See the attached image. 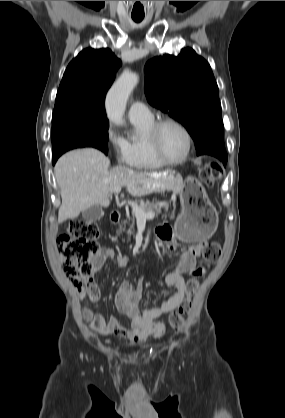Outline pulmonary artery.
<instances>
[{"label":"pulmonary artery","instance_id":"1","mask_svg":"<svg viewBox=\"0 0 285 418\" xmlns=\"http://www.w3.org/2000/svg\"><path fill=\"white\" fill-rule=\"evenodd\" d=\"M128 116L131 121H150L153 119L150 109L140 101H135L130 105Z\"/></svg>","mask_w":285,"mask_h":418}]
</instances>
